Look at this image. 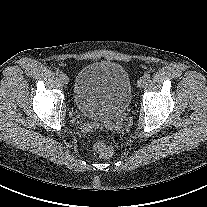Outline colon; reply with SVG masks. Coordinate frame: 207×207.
I'll use <instances>...</instances> for the list:
<instances>
[{"instance_id":"5ec220e1","label":"colon","mask_w":207,"mask_h":207,"mask_svg":"<svg viewBox=\"0 0 207 207\" xmlns=\"http://www.w3.org/2000/svg\"><path fill=\"white\" fill-rule=\"evenodd\" d=\"M93 148L98 156L101 158H109L114 152L112 144L104 141H95L93 144Z\"/></svg>"}]
</instances>
